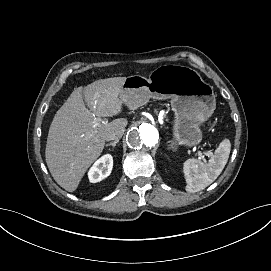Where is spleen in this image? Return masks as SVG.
Segmentation results:
<instances>
[{"mask_svg":"<svg viewBox=\"0 0 271 271\" xmlns=\"http://www.w3.org/2000/svg\"><path fill=\"white\" fill-rule=\"evenodd\" d=\"M230 141L224 139L211 156L209 162L198 164L195 159H188L183 163V174L186 181V191L196 192V189L207 187L222 172L230 154Z\"/></svg>","mask_w":271,"mask_h":271,"instance_id":"obj_1","label":"spleen"}]
</instances>
